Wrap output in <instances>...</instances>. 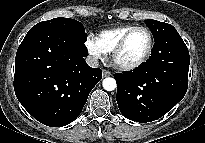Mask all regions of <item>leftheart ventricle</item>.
I'll return each mask as SVG.
<instances>
[{
  "label": "left heart ventricle",
  "instance_id": "1",
  "mask_svg": "<svg viewBox=\"0 0 205 143\" xmlns=\"http://www.w3.org/2000/svg\"><path fill=\"white\" fill-rule=\"evenodd\" d=\"M149 43L148 34L144 30H137L129 37L125 48L117 61L121 64H132L142 58Z\"/></svg>",
  "mask_w": 205,
  "mask_h": 143
}]
</instances>
